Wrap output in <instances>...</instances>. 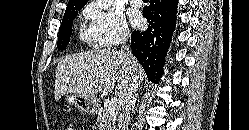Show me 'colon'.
I'll return each instance as SVG.
<instances>
[{
  "instance_id": "obj_1",
  "label": "colon",
  "mask_w": 249,
  "mask_h": 130,
  "mask_svg": "<svg viewBox=\"0 0 249 130\" xmlns=\"http://www.w3.org/2000/svg\"><path fill=\"white\" fill-rule=\"evenodd\" d=\"M63 130H77L76 126L73 123H67Z\"/></svg>"
}]
</instances>
